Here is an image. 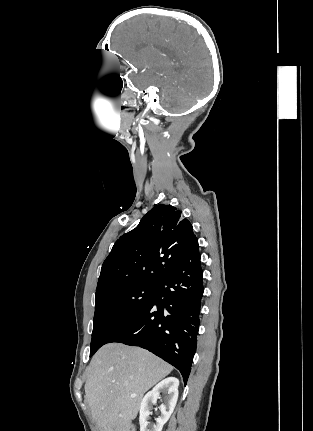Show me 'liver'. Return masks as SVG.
<instances>
[{"label":"liver","instance_id":"6515ba94","mask_svg":"<svg viewBox=\"0 0 313 431\" xmlns=\"http://www.w3.org/2000/svg\"><path fill=\"white\" fill-rule=\"evenodd\" d=\"M172 370L140 347L109 343L100 348L88 367L85 400L101 431H131L144 394Z\"/></svg>","mask_w":313,"mask_h":431}]
</instances>
